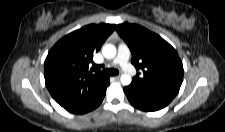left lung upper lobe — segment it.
<instances>
[{"label":"left lung upper lobe","mask_w":225,"mask_h":132,"mask_svg":"<svg viewBox=\"0 0 225 132\" xmlns=\"http://www.w3.org/2000/svg\"><path fill=\"white\" fill-rule=\"evenodd\" d=\"M118 34L129 46L137 74L131 85L148 92L176 96L183 81V65L176 50L164 39L146 28L123 23L116 26Z\"/></svg>","instance_id":"left-lung-upper-lobe-1"}]
</instances>
